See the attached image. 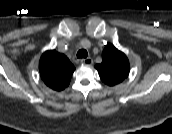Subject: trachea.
<instances>
[{
    "mask_svg": "<svg viewBox=\"0 0 172 134\" xmlns=\"http://www.w3.org/2000/svg\"><path fill=\"white\" fill-rule=\"evenodd\" d=\"M88 53L85 49H81L77 53V58H87Z\"/></svg>",
    "mask_w": 172,
    "mask_h": 134,
    "instance_id": "obj_1",
    "label": "trachea"
}]
</instances>
